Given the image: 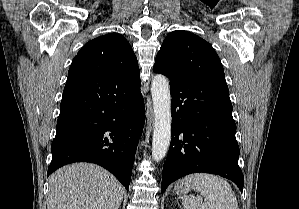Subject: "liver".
<instances>
[{"instance_id":"6515ba94","label":"liver","mask_w":299,"mask_h":209,"mask_svg":"<svg viewBox=\"0 0 299 209\" xmlns=\"http://www.w3.org/2000/svg\"><path fill=\"white\" fill-rule=\"evenodd\" d=\"M49 183L47 209H118L124 194L112 174L90 163L62 167Z\"/></svg>"}]
</instances>
